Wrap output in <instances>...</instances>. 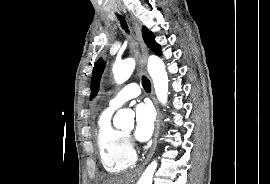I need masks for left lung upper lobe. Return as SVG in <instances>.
Listing matches in <instances>:
<instances>
[{
  "instance_id": "1",
  "label": "left lung upper lobe",
  "mask_w": 270,
  "mask_h": 184,
  "mask_svg": "<svg viewBox=\"0 0 270 184\" xmlns=\"http://www.w3.org/2000/svg\"><path fill=\"white\" fill-rule=\"evenodd\" d=\"M143 39L146 45L155 53L161 54L160 45L155 42V35L149 31L146 27L142 29ZM105 67V62L102 58H100L94 66L92 71V79H91V98L96 96L99 90V83L101 79V75L103 73Z\"/></svg>"
}]
</instances>
